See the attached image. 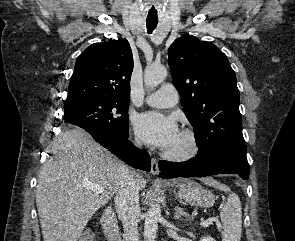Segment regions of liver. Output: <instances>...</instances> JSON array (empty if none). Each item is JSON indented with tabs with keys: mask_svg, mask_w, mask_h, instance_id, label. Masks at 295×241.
<instances>
[{
	"mask_svg": "<svg viewBox=\"0 0 295 241\" xmlns=\"http://www.w3.org/2000/svg\"><path fill=\"white\" fill-rule=\"evenodd\" d=\"M36 187L44 241H77L89 219L118 192L117 170L123 164L83 130L61 133L49 150ZM137 187L146 181L134 172ZM97 184L105 192L85 187Z\"/></svg>",
	"mask_w": 295,
	"mask_h": 241,
	"instance_id": "liver-1",
	"label": "liver"
}]
</instances>
